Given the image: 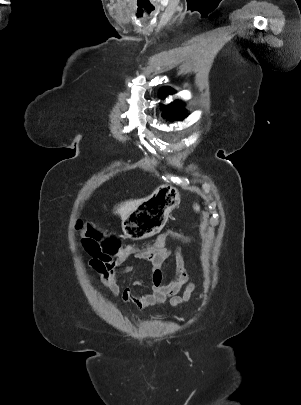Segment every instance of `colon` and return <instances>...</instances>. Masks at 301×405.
Segmentation results:
<instances>
[{
    "label": "colon",
    "instance_id": "obj_1",
    "mask_svg": "<svg viewBox=\"0 0 301 405\" xmlns=\"http://www.w3.org/2000/svg\"><path fill=\"white\" fill-rule=\"evenodd\" d=\"M76 229L82 233V245L84 249L93 257L98 258L105 262V264H110L115 260L121 251L123 250L120 242L113 235H106L97 225L88 224L83 225L82 222L76 224ZM175 226L172 224H164L162 226V232L158 231L156 236L161 238L163 235L170 236L175 242H193V237H185L184 234L172 231ZM188 244V243H187ZM157 245L154 242L149 249H156Z\"/></svg>",
    "mask_w": 301,
    "mask_h": 405
}]
</instances>
